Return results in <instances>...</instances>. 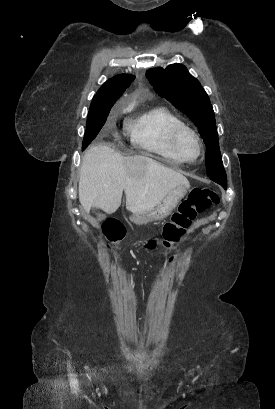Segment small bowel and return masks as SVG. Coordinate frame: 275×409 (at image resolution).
Returning <instances> with one entry per match:
<instances>
[{"instance_id": "obj_1", "label": "small bowel", "mask_w": 275, "mask_h": 409, "mask_svg": "<svg viewBox=\"0 0 275 409\" xmlns=\"http://www.w3.org/2000/svg\"><path fill=\"white\" fill-rule=\"evenodd\" d=\"M169 261H170V262H173V261H174V258H173V257H170V258H169ZM171 267H173V266H171Z\"/></svg>"}]
</instances>
